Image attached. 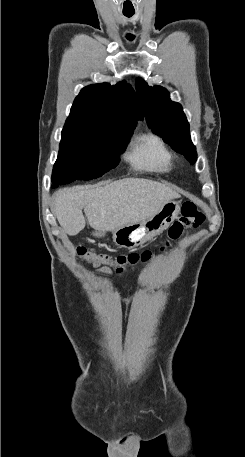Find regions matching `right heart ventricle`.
Here are the masks:
<instances>
[{
	"mask_svg": "<svg viewBox=\"0 0 245 457\" xmlns=\"http://www.w3.org/2000/svg\"><path fill=\"white\" fill-rule=\"evenodd\" d=\"M133 146V157L140 166L157 171L170 167L171 154L160 136L139 131L134 136Z\"/></svg>",
	"mask_w": 245,
	"mask_h": 457,
	"instance_id": "e07e8e85",
	"label": "right heart ventricle"
}]
</instances>
